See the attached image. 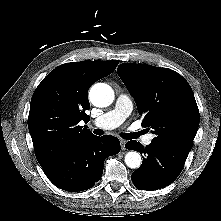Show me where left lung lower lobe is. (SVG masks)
<instances>
[{
	"label": "left lung lower lobe",
	"mask_w": 221,
	"mask_h": 221,
	"mask_svg": "<svg viewBox=\"0 0 221 221\" xmlns=\"http://www.w3.org/2000/svg\"><path fill=\"white\" fill-rule=\"evenodd\" d=\"M125 147L145 155L142 165L131 175L133 184L139 190L151 191L170 185L178 177L186 161L152 142L144 147L131 140Z\"/></svg>",
	"instance_id": "obj_1"
}]
</instances>
